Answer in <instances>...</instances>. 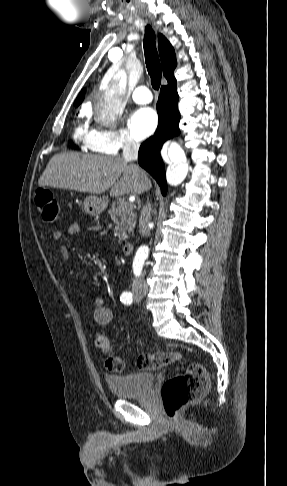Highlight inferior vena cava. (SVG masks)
Segmentation results:
<instances>
[{
    "label": "inferior vena cava",
    "mask_w": 287,
    "mask_h": 486,
    "mask_svg": "<svg viewBox=\"0 0 287 486\" xmlns=\"http://www.w3.org/2000/svg\"><path fill=\"white\" fill-rule=\"evenodd\" d=\"M139 143L135 142L130 136H127L124 140L123 146V158L126 161H136L138 158V150H139ZM151 217V204L149 200L147 201L146 205L143 206L141 210V215L139 219V233L142 236H148L150 231L148 228V223ZM145 272H143L139 278L133 281V289L134 290H147V284L144 278Z\"/></svg>",
    "instance_id": "1"
}]
</instances>
